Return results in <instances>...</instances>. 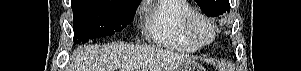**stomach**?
Wrapping results in <instances>:
<instances>
[{
	"instance_id": "obj_1",
	"label": "stomach",
	"mask_w": 301,
	"mask_h": 71,
	"mask_svg": "<svg viewBox=\"0 0 301 71\" xmlns=\"http://www.w3.org/2000/svg\"><path fill=\"white\" fill-rule=\"evenodd\" d=\"M174 71H203V68L196 62L190 60L178 66Z\"/></svg>"
}]
</instances>
